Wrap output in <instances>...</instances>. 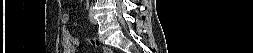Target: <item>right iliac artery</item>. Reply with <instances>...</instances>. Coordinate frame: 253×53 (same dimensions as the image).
<instances>
[{"mask_svg":"<svg viewBox=\"0 0 253 53\" xmlns=\"http://www.w3.org/2000/svg\"><path fill=\"white\" fill-rule=\"evenodd\" d=\"M88 7H89V5H88V3H87V7H86L87 10H88Z\"/></svg>","mask_w":253,"mask_h":53,"instance_id":"right-iliac-artery-1","label":"right iliac artery"}]
</instances>
